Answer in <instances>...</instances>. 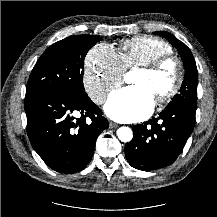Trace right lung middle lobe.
Wrapping results in <instances>:
<instances>
[{"instance_id":"obj_1","label":"right lung middle lobe","mask_w":217,"mask_h":217,"mask_svg":"<svg viewBox=\"0 0 217 217\" xmlns=\"http://www.w3.org/2000/svg\"><path fill=\"white\" fill-rule=\"evenodd\" d=\"M101 38L75 35L51 45L36 62L26 87V96L67 93L87 96L83 86L84 58Z\"/></svg>"}]
</instances>
